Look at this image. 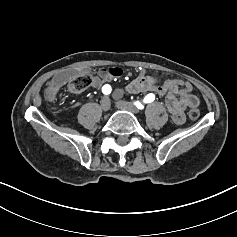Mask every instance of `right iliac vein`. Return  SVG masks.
<instances>
[{"instance_id":"63e3f726","label":"right iliac vein","mask_w":237,"mask_h":237,"mask_svg":"<svg viewBox=\"0 0 237 237\" xmlns=\"http://www.w3.org/2000/svg\"><path fill=\"white\" fill-rule=\"evenodd\" d=\"M100 107L103 111H108L111 107V103L108 97H104L100 102Z\"/></svg>"}]
</instances>
